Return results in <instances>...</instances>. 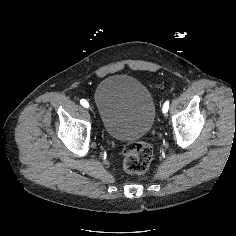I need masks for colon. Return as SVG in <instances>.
Wrapping results in <instances>:
<instances>
[{
    "label": "colon",
    "instance_id": "colon-1",
    "mask_svg": "<svg viewBox=\"0 0 236 236\" xmlns=\"http://www.w3.org/2000/svg\"><path fill=\"white\" fill-rule=\"evenodd\" d=\"M123 154V168L129 175H140L146 172L153 160L152 147L141 141L127 143Z\"/></svg>",
    "mask_w": 236,
    "mask_h": 236
}]
</instances>
